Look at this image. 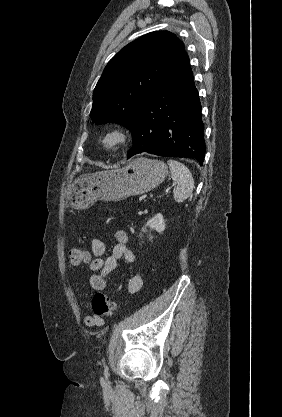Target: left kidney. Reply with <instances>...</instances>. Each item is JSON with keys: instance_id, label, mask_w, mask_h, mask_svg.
<instances>
[{"instance_id": "obj_1", "label": "left kidney", "mask_w": 282, "mask_h": 417, "mask_svg": "<svg viewBox=\"0 0 282 417\" xmlns=\"http://www.w3.org/2000/svg\"><path fill=\"white\" fill-rule=\"evenodd\" d=\"M146 227H149L151 231H157V233H163L166 229L165 221L163 219V215L161 213H157L155 217H152V219H149L147 221L146 225H144L142 229V233H148Z\"/></svg>"}]
</instances>
